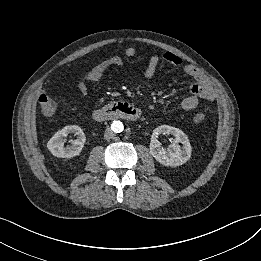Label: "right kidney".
Wrapping results in <instances>:
<instances>
[{"instance_id":"1","label":"right kidney","mask_w":261,"mask_h":261,"mask_svg":"<svg viewBox=\"0 0 261 261\" xmlns=\"http://www.w3.org/2000/svg\"><path fill=\"white\" fill-rule=\"evenodd\" d=\"M69 134L77 136L71 146L64 147V138ZM86 141L83 130L77 125H68L57 131L48 141L47 148L52 155L61 158H72L81 153Z\"/></svg>"}]
</instances>
